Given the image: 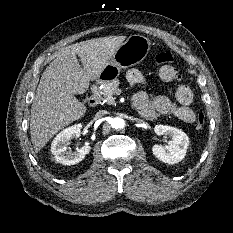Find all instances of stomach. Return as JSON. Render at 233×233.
<instances>
[{
    "label": "stomach",
    "mask_w": 233,
    "mask_h": 233,
    "mask_svg": "<svg viewBox=\"0 0 233 233\" xmlns=\"http://www.w3.org/2000/svg\"><path fill=\"white\" fill-rule=\"evenodd\" d=\"M150 49L151 41L149 38L140 34H132L116 49L105 69L112 66L120 70L139 64L146 58ZM102 73L98 77V80L100 82L109 81L104 79Z\"/></svg>",
    "instance_id": "0dacf381"
}]
</instances>
